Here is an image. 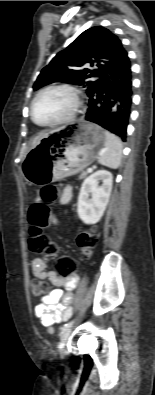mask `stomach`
<instances>
[{
  "label": "stomach",
  "mask_w": 155,
  "mask_h": 395,
  "mask_svg": "<svg viewBox=\"0 0 155 395\" xmlns=\"http://www.w3.org/2000/svg\"><path fill=\"white\" fill-rule=\"evenodd\" d=\"M105 131L85 120L57 128L26 155L22 171L27 182L42 186L82 171L104 149Z\"/></svg>",
  "instance_id": "0dacf381"
}]
</instances>
